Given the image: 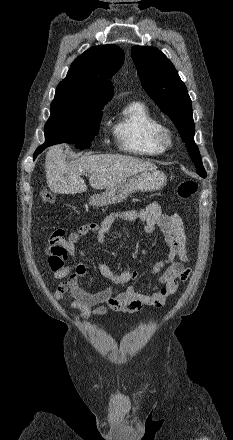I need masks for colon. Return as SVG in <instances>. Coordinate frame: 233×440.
<instances>
[{
    "instance_id": "colon-1",
    "label": "colon",
    "mask_w": 233,
    "mask_h": 440,
    "mask_svg": "<svg viewBox=\"0 0 233 440\" xmlns=\"http://www.w3.org/2000/svg\"><path fill=\"white\" fill-rule=\"evenodd\" d=\"M198 185L195 180H184L178 186V196L183 199L191 198L197 192ZM41 197L45 202H53L54 196L50 191L43 190L41 193ZM63 262V261H62Z\"/></svg>"
}]
</instances>
